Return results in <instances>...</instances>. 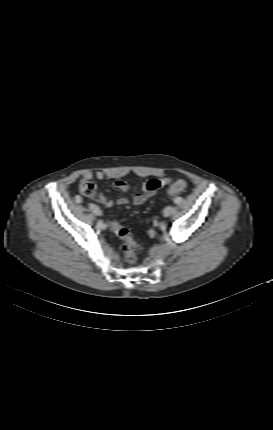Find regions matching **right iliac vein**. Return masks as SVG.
Wrapping results in <instances>:
<instances>
[{
	"instance_id": "obj_1",
	"label": "right iliac vein",
	"mask_w": 273,
	"mask_h": 430,
	"mask_svg": "<svg viewBox=\"0 0 273 430\" xmlns=\"http://www.w3.org/2000/svg\"><path fill=\"white\" fill-rule=\"evenodd\" d=\"M90 209L97 216H100L102 214L101 209L97 205L92 204Z\"/></svg>"
}]
</instances>
